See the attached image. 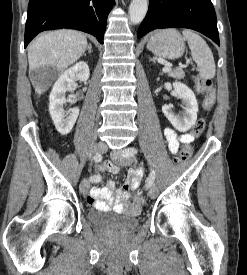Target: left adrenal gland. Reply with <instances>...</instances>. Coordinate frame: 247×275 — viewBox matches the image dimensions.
<instances>
[{"mask_svg": "<svg viewBox=\"0 0 247 275\" xmlns=\"http://www.w3.org/2000/svg\"><path fill=\"white\" fill-rule=\"evenodd\" d=\"M150 61H153V62L155 63V60H154V59H152V58H150Z\"/></svg>", "mask_w": 247, "mask_h": 275, "instance_id": "obj_1", "label": "left adrenal gland"}]
</instances>
